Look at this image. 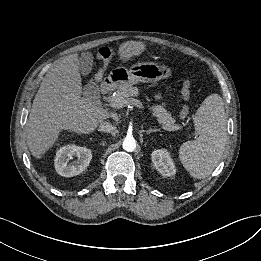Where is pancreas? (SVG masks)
I'll list each match as a JSON object with an SVG mask.
<instances>
[{
    "label": "pancreas",
    "instance_id": "cf45deb5",
    "mask_svg": "<svg viewBox=\"0 0 261 261\" xmlns=\"http://www.w3.org/2000/svg\"><path fill=\"white\" fill-rule=\"evenodd\" d=\"M139 89L131 85H125L119 87L115 95L110 97V101L120 100L126 101L127 105L131 103L133 97L138 96ZM152 111L153 116H155L164 130L175 131L181 128L180 125L175 123V119L171 114L161 105H152L149 108Z\"/></svg>",
    "mask_w": 261,
    "mask_h": 261
}]
</instances>
